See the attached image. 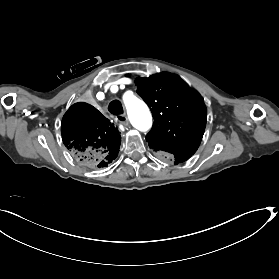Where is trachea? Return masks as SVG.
<instances>
[{
  "label": "trachea",
  "mask_w": 279,
  "mask_h": 279,
  "mask_svg": "<svg viewBox=\"0 0 279 279\" xmlns=\"http://www.w3.org/2000/svg\"><path fill=\"white\" fill-rule=\"evenodd\" d=\"M108 111L111 114H122L123 113V106L119 100H113L109 106H108Z\"/></svg>",
  "instance_id": "3493384b"
}]
</instances>
